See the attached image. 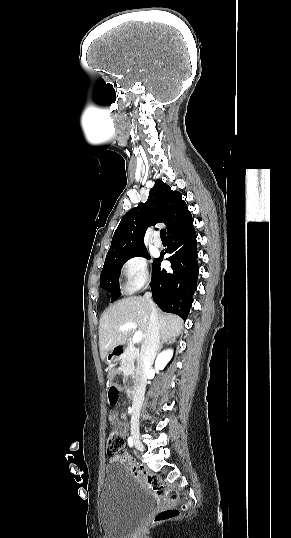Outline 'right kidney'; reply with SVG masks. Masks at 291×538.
I'll list each match as a JSON object with an SVG mask.
<instances>
[{
    "label": "right kidney",
    "mask_w": 291,
    "mask_h": 538,
    "mask_svg": "<svg viewBox=\"0 0 291 538\" xmlns=\"http://www.w3.org/2000/svg\"><path fill=\"white\" fill-rule=\"evenodd\" d=\"M172 355H173V350L172 349H167V350H164L163 352H161L157 356V359L155 361V368L157 370H162L166 366L168 361L171 359Z\"/></svg>",
    "instance_id": "1"
}]
</instances>
